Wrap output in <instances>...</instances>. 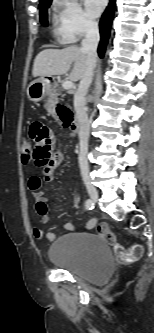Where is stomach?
Instances as JSON below:
<instances>
[{"mask_svg": "<svg viewBox=\"0 0 154 333\" xmlns=\"http://www.w3.org/2000/svg\"><path fill=\"white\" fill-rule=\"evenodd\" d=\"M50 82L48 79L41 77L30 83L27 88L28 99L32 102L43 100L50 93Z\"/></svg>", "mask_w": 154, "mask_h": 333, "instance_id": "obj_1", "label": "stomach"}]
</instances>
